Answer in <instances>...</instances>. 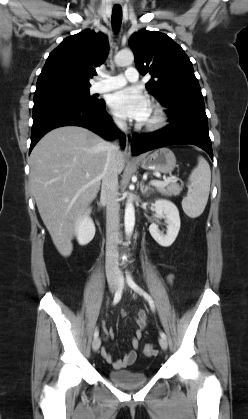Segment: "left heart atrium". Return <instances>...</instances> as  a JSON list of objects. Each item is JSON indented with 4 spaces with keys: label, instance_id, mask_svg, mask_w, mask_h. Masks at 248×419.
Returning a JSON list of instances; mask_svg holds the SVG:
<instances>
[{
    "label": "left heart atrium",
    "instance_id": "obj_1",
    "mask_svg": "<svg viewBox=\"0 0 248 419\" xmlns=\"http://www.w3.org/2000/svg\"><path fill=\"white\" fill-rule=\"evenodd\" d=\"M109 106L117 116L138 122L146 121L151 111L147 96L135 87L113 93L109 99Z\"/></svg>",
    "mask_w": 248,
    "mask_h": 419
}]
</instances>
